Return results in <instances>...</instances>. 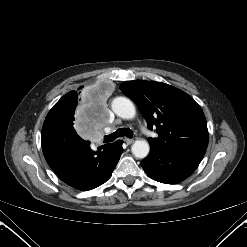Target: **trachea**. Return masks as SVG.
<instances>
[{"label":"trachea","mask_w":247,"mask_h":247,"mask_svg":"<svg viewBox=\"0 0 247 247\" xmlns=\"http://www.w3.org/2000/svg\"><path fill=\"white\" fill-rule=\"evenodd\" d=\"M126 136L128 138L133 137V131L130 128H120L116 130L114 133L104 136V143L112 142L118 137Z\"/></svg>","instance_id":"obj_1"}]
</instances>
